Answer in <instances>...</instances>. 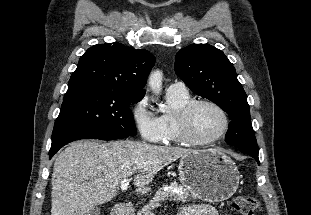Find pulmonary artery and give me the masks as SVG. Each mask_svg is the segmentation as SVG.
<instances>
[{"instance_id": "e3ab8cb5", "label": "pulmonary artery", "mask_w": 311, "mask_h": 215, "mask_svg": "<svg viewBox=\"0 0 311 215\" xmlns=\"http://www.w3.org/2000/svg\"><path fill=\"white\" fill-rule=\"evenodd\" d=\"M168 90L180 92L188 91L186 85L182 81L171 82L168 86Z\"/></svg>"}]
</instances>
